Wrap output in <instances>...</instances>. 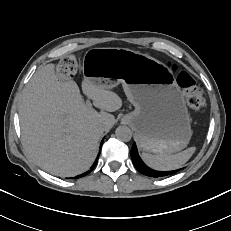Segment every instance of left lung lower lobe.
Instances as JSON below:
<instances>
[{"label":"left lung lower lobe","mask_w":231,"mask_h":231,"mask_svg":"<svg viewBox=\"0 0 231 231\" xmlns=\"http://www.w3.org/2000/svg\"><path fill=\"white\" fill-rule=\"evenodd\" d=\"M131 158H132L133 164L136 167V169L142 174L150 176V177H164V176L172 175L180 170L178 169V170L160 172V171H155V170L148 168L140 159L135 143L133 144L132 149H131Z\"/></svg>","instance_id":"left-lung-lower-lobe-1"}]
</instances>
